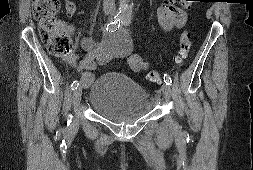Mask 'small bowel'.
<instances>
[{"label": "small bowel", "instance_id": "c3829d8e", "mask_svg": "<svg viewBox=\"0 0 253 170\" xmlns=\"http://www.w3.org/2000/svg\"><path fill=\"white\" fill-rule=\"evenodd\" d=\"M185 0H164L163 4L157 10V16L160 26L164 30L173 28L180 29L185 25L187 14L178 4ZM65 15L71 18L76 12V5L70 0L64 2ZM61 28L67 34H75L76 28L73 24L62 21ZM81 47L87 52L80 64H76V55L73 54L66 58L64 62L74 68L76 71H84L81 76V84L85 87L90 85L93 80L92 70L97 65L104 64L116 56V52L107 48L103 43L92 40L91 38H82ZM129 68L133 72H142L148 68V62L138 54H129L126 56Z\"/></svg>", "mask_w": 253, "mask_h": 170}]
</instances>
